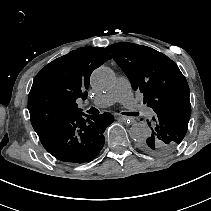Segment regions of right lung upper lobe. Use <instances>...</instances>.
<instances>
[{
	"label": "right lung upper lobe",
	"mask_w": 211,
	"mask_h": 211,
	"mask_svg": "<svg viewBox=\"0 0 211 211\" xmlns=\"http://www.w3.org/2000/svg\"><path fill=\"white\" fill-rule=\"evenodd\" d=\"M109 59L105 48L84 47L46 65L35 77L28 97L33 128L81 112L76 100L86 99L91 73Z\"/></svg>",
	"instance_id": "1"
}]
</instances>
